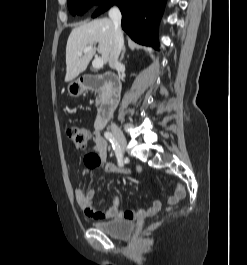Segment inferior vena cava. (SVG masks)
Instances as JSON below:
<instances>
[{
  "mask_svg": "<svg viewBox=\"0 0 247 265\" xmlns=\"http://www.w3.org/2000/svg\"><path fill=\"white\" fill-rule=\"evenodd\" d=\"M109 17L111 18L114 25V42L109 55V66L112 69H116L120 66L118 57L124 45L123 33L121 30V12L118 7H113L109 11Z\"/></svg>",
  "mask_w": 247,
  "mask_h": 265,
  "instance_id": "inferior-vena-cava-1",
  "label": "inferior vena cava"
}]
</instances>
